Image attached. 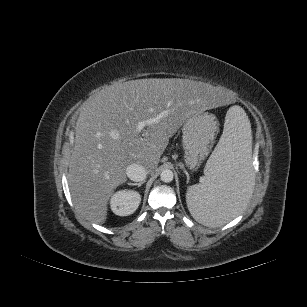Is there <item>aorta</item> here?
Here are the masks:
<instances>
[{
  "label": "aorta",
  "mask_w": 307,
  "mask_h": 307,
  "mask_svg": "<svg viewBox=\"0 0 307 307\" xmlns=\"http://www.w3.org/2000/svg\"><path fill=\"white\" fill-rule=\"evenodd\" d=\"M173 177V172L170 169H164L160 174V179L165 183L171 182L173 180Z\"/></svg>",
  "instance_id": "obj_1"
}]
</instances>
